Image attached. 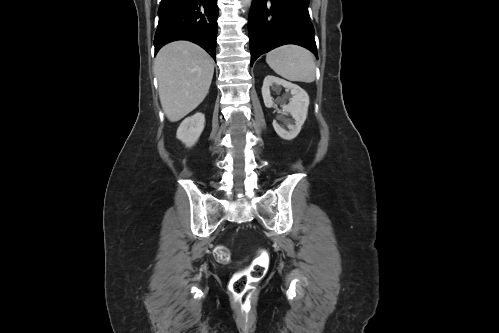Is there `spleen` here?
Instances as JSON below:
<instances>
[{
    "instance_id": "1",
    "label": "spleen",
    "mask_w": 499,
    "mask_h": 333,
    "mask_svg": "<svg viewBox=\"0 0 499 333\" xmlns=\"http://www.w3.org/2000/svg\"><path fill=\"white\" fill-rule=\"evenodd\" d=\"M266 62L278 75L290 81L311 83L315 80L316 65L313 54L303 47H278L267 53Z\"/></svg>"
}]
</instances>
